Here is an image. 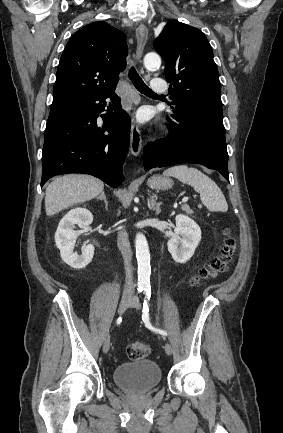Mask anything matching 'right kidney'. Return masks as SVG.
Returning <instances> with one entry per match:
<instances>
[{
  "label": "right kidney",
  "mask_w": 283,
  "mask_h": 433,
  "mask_svg": "<svg viewBox=\"0 0 283 433\" xmlns=\"http://www.w3.org/2000/svg\"><path fill=\"white\" fill-rule=\"evenodd\" d=\"M93 221L92 213L85 208L70 210L59 222L55 233V242L60 250L62 260L74 269L86 267L94 255V246L91 244L82 247V254L74 252L73 240L80 232L74 231L75 225L87 228Z\"/></svg>",
  "instance_id": "right-kidney-1"
}]
</instances>
